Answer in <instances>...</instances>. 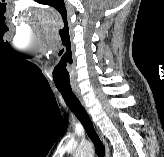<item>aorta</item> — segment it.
Wrapping results in <instances>:
<instances>
[{
	"label": "aorta",
	"mask_w": 164,
	"mask_h": 157,
	"mask_svg": "<svg viewBox=\"0 0 164 157\" xmlns=\"http://www.w3.org/2000/svg\"><path fill=\"white\" fill-rule=\"evenodd\" d=\"M93 155H94L93 145L89 142H84L80 144L74 157H93Z\"/></svg>",
	"instance_id": "762f6f07"
}]
</instances>
